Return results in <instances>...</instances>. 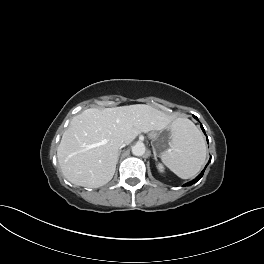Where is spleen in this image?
<instances>
[{
  "instance_id": "3e777b00",
  "label": "spleen",
  "mask_w": 264,
  "mask_h": 264,
  "mask_svg": "<svg viewBox=\"0 0 264 264\" xmlns=\"http://www.w3.org/2000/svg\"><path fill=\"white\" fill-rule=\"evenodd\" d=\"M170 149L161 155L162 162L178 177L195 176L206 159V144L202 133L186 118L175 120Z\"/></svg>"
}]
</instances>
